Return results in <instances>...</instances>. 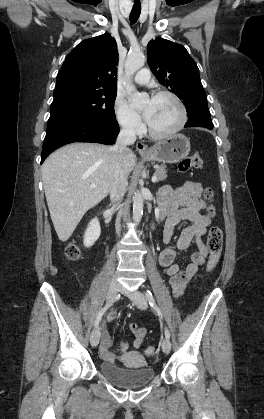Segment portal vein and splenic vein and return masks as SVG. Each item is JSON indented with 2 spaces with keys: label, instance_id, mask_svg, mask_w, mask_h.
Wrapping results in <instances>:
<instances>
[{
  "label": "portal vein and splenic vein",
  "instance_id": "18ae733b",
  "mask_svg": "<svg viewBox=\"0 0 264 419\" xmlns=\"http://www.w3.org/2000/svg\"><path fill=\"white\" fill-rule=\"evenodd\" d=\"M152 182L153 183H156L157 182V177H156V175L154 174L153 175V177H152ZM96 185L95 184H91V188H94Z\"/></svg>",
  "mask_w": 264,
  "mask_h": 419
}]
</instances>
